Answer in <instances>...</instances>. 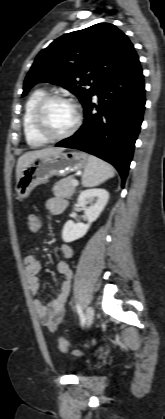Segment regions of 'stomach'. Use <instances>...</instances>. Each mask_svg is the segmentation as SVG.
Instances as JSON below:
<instances>
[{"instance_id": "1", "label": "stomach", "mask_w": 165, "mask_h": 419, "mask_svg": "<svg viewBox=\"0 0 165 419\" xmlns=\"http://www.w3.org/2000/svg\"><path fill=\"white\" fill-rule=\"evenodd\" d=\"M88 158V154L79 151L59 152L35 158L17 180V197L27 198L36 186L46 183L54 175L66 176L85 168Z\"/></svg>"}]
</instances>
